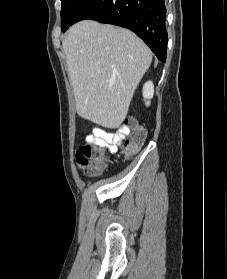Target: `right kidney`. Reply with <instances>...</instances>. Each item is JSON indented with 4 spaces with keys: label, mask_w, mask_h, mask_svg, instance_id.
Masks as SVG:
<instances>
[{
    "label": "right kidney",
    "mask_w": 227,
    "mask_h": 279,
    "mask_svg": "<svg viewBox=\"0 0 227 279\" xmlns=\"http://www.w3.org/2000/svg\"><path fill=\"white\" fill-rule=\"evenodd\" d=\"M154 95V85L151 81H148L143 86V97L146 100V106L150 105V99Z\"/></svg>",
    "instance_id": "1"
}]
</instances>
